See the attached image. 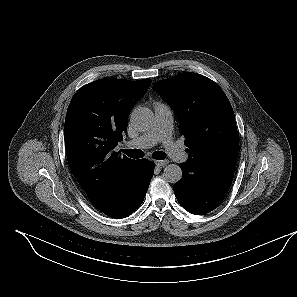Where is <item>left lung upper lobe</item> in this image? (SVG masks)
I'll return each mask as SVG.
<instances>
[{
  "mask_svg": "<svg viewBox=\"0 0 297 297\" xmlns=\"http://www.w3.org/2000/svg\"><path fill=\"white\" fill-rule=\"evenodd\" d=\"M153 89L175 111L188 146L186 163L198 171L236 166L239 141L235 116L219 85L186 72L157 81Z\"/></svg>",
  "mask_w": 297,
  "mask_h": 297,
  "instance_id": "1",
  "label": "left lung upper lobe"
}]
</instances>
